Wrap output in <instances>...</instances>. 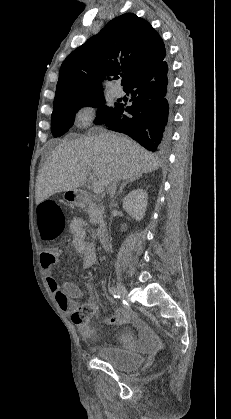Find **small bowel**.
<instances>
[{"label":"small bowel","mask_w":231,"mask_h":419,"mask_svg":"<svg viewBox=\"0 0 231 419\" xmlns=\"http://www.w3.org/2000/svg\"><path fill=\"white\" fill-rule=\"evenodd\" d=\"M72 234V246L74 251L82 257V267L90 268L96 263V250L92 241L87 239L88 227L85 220L81 217H74L70 222ZM63 250L61 248L44 249L40 254V262L45 275L48 287L52 292L59 308L71 314L72 321L78 327L79 332L85 339H93V331L89 326V318H82L78 310L81 306L79 299L82 297L80 287L72 282L65 281L60 286L54 275V265L59 261ZM108 298V297H107ZM109 299V298H108ZM95 307L94 303H89ZM96 312V311H95ZM95 314V313H94ZM110 325H122L130 323L138 331L139 339L125 331L121 334V341L127 348H138L140 350L150 349L153 341V334L141 322L126 310H117L115 315L106 320Z\"/></svg>","instance_id":"obj_1"}]
</instances>
